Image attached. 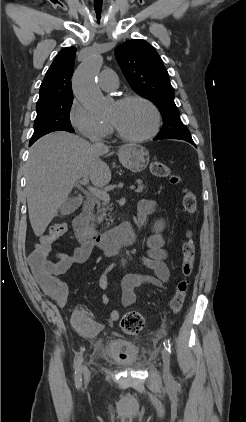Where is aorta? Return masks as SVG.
<instances>
[{
  "instance_id": "obj_1",
  "label": "aorta",
  "mask_w": 246,
  "mask_h": 422,
  "mask_svg": "<svg viewBox=\"0 0 246 422\" xmlns=\"http://www.w3.org/2000/svg\"><path fill=\"white\" fill-rule=\"evenodd\" d=\"M102 62L101 55H92L75 71L72 81L74 95L95 116H102L107 110L97 86Z\"/></svg>"
}]
</instances>
